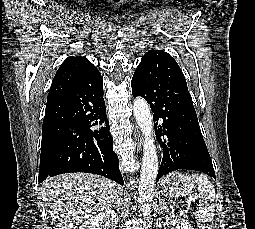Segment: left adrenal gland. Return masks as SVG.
<instances>
[{"instance_id": "1", "label": "left adrenal gland", "mask_w": 255, "mask_h": 229, "mask_svg": "<svg viewBox=\"0 0 255 229\" xmlns=\"http://www.w3.org/2000/svg\"><path fill=\"white\" fill-rule=\"evenodd\" d=\"M159 208H160L161 210H164V211H167V210H168V209H167V206H166V203L163 201L162 198L159 200Z\"/></svg>"}]
</instances>
